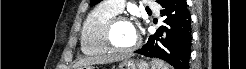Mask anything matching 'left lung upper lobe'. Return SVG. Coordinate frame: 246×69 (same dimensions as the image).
<instances>
[{"mask_svg":"<svg viewBox=\"0 0 246 69\" xmlns=\"http://www.w3.org/2000/svg\"><path fill=\"white\" fill-rule=\"evenodd\" d=\"M101 0H91L90 4L91 6H94L95 4L99 3ZM163 1L166 0H156V2H158L159 4L162 3Z\"/></svg>","mask_w":246,"mask_h":69,"instance_id":"5c2ea615","label":"left lung upper lobe"}]
</instances>
